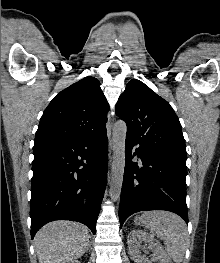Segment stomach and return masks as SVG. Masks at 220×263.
I'll return each mask as SVG.
<instances>
[{
	"mask_svg": "<svg viewBox=\"0 0 220 263\" xmlns=\"http://www.w3.org/2000/svg\"><path fill=\"white\" fill-rule=\"evenodd\" d=\"M135 223H136V224H142L140 218H136V219H135Z\"/></svg>",
	"mask_w": 220,
	"mask_h": 263,
	"instance_id": "1",
	"label": "stomach"
}]
</instances>
